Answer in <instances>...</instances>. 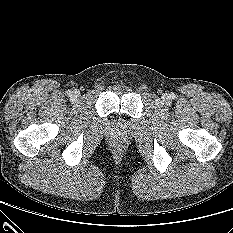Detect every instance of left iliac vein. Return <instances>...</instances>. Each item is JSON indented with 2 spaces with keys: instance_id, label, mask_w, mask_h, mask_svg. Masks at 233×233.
Returning a JSON list of instances; mask_svg holds the SVG:
<instances>
[{
  "instance_id": "left-iliac-vein-1",
  "label": "left iliac vein",
  "mask_w": 233,
  "mask_h": 233,
  "mask_svg": "<svg viewBox=\"0 0 233 233\" xmlns=\"http://www.w3.org/2000/svg\"><path fill=\"white\" fill-rule=\"evenodd\" d=\"M162 99H163L164 102H167V101H168V96H167V95H164V96L162 97Z\"/></svg>"
}]
</instances>
